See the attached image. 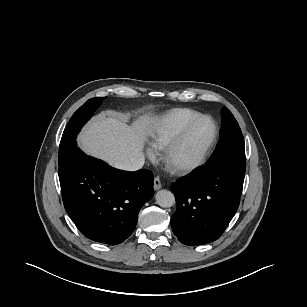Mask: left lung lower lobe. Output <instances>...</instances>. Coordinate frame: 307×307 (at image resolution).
<instances>
[{
    "label": "left lung lower lobe",
    "mask_w": 307,
    "mask_h": 307,
    "mask_svg": "<svg viewBox=\"0 0 307 307\" xmlns=\"http://www.w3.org/2000/svg\"><path fill=\"white\" fill-rule=\"evenodd\" d=\"M243 182L244 172L225 164L204 166L174 182L171 227L180 242L196 246L218 239L238 209Z\"/></svg>",
    "instance_id": "obj_1"
}]
</instances>
